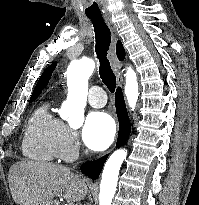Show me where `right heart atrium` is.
Returning a JSON list of instances; mask_svg holds the SVG:
<instances>
[{"mask_svg": "<svg viewBox=\"0 0 199 205\" xmlns=\"http://www.w3.org/2000/svg\"><path fill=\"white\" fill-rule=\"evenodd\" d=\"M80 145L76 132L63 124L58 139V156L66 161L73 160L79 153Z\"/></svg>", "mask_w": 199, "mask_h": 205, "instance_id": "1", "label": "right heart atrium"}]
</instances>
